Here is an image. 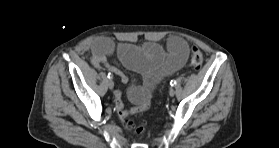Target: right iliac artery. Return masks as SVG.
<instances>
[{"label":"right iliac artery","instance_id":"right-iliac-artery-1","mask_svg":"<svg viewBox=\"0 0 279 148\" xmlns=\"http://www.w3.org/2000/svg\"><path fill=\"white\" fill-rule=\"evenodd\" d=\"M109 79H112L113 78V75L111 73H108V76H107Z\"/></svg>","mask_w":279,"mask_h":148}]
</instances>
